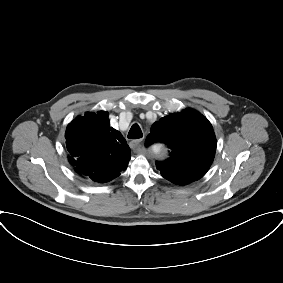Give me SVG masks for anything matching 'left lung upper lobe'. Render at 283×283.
Here are the masks:
<instances>
[{"instance_id": "1", "label": "left lung upper lobe", "mask_w": 283, "mask_h": 283, "mask_svg": "<svg viewBox=\"0 0 283 283\" xmlns=\"http://www.w3.org/2000/svg\"><path fill=\"white\" fill-rule=\"evenodd\" d=\"M161 141L170 148V157L156 162L161 175L179 185L200 179L209 169L216 150L210 122L194 110L161 118L151 128L146 145Z\"/></svg>"}]
</instances>
